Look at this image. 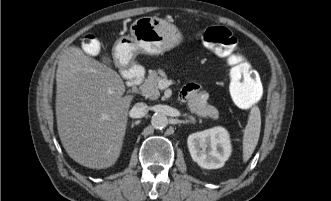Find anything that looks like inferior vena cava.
<instances>
[{
  "mask_svg": "<svg viewBox=\"0 0 331 201\" xmlns=\"http://www.w3.org/2000/svg\"><path fill=\"white\" fill-rule=\"evenodd\" d=\"M149 111V107L146 103L138 102L136 103L130 111V115L133 118H142Z\"/></svg>",
  "mask_w": 331,
  "mask_h": 201,
  "instance_id": "1",
  "label": "inferior vena cava"
}]
</instances>
